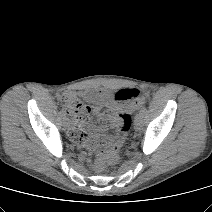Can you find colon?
Masks as SVG:
<instances>
[{
	"label": "colon",
	"instance_id": "1",
	"mask_svg": "<svg viewBox=\"0 0 212 212\" xmlns=\"http://www.w3.org/2000/svg\"><path fill=\"white\" fill-rule=\"evenodd\" d=\"M115 99L122 102L130 101L135 105H139L143 101V92L138 88H124L116 92ZM63 108L74 118L86 115L89 110L88 106L75 96H66L63 99ZM131 124L132 119L129 113L123 112L119 115L117 120L118 134L112 138L105 155L99 157L96 161L97 169L102 170L106 164L116 165L119 163V151L125 136L131 128Z\"/></svg>",
	"mask_w": 212,
	"mask_h": 212
}]
</instances>
